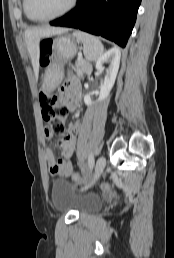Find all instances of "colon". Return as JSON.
<instances>
[{
    "label": "colon",
    "mask_w": 174,
    "mask_h": 258,
    "mask_svg": "<svg viewBox=\"0 0 174 258\" xmlns=\"http://www.w3.org/2000/svg\"><path fill=\"white\" fill-rule=\"evenodd\" d=\"M41 50V64L45 65L49 62L52 42L50 40H44L40 44ZM40 104L42 107V116L46 122L47 127L51 133L56 136L65 135V122L68 115V108L59 102L57 95H47L40 93ZM71 180L74 183H80L84 181V176L80 173H72L70 175ZM102 191L110 197H116V192L108 185L101 184Z\"/></svg>",
    "instance_id": "obj_1"
}]
</instances>
